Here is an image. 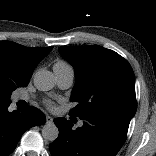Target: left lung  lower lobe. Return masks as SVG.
<instances>
[{"label": "left lung lower lobe", "mask_w": 156, "mask_h": 156, "mask_svg": "<svg viewBox=\"0 0 156 156\" xmlns=\"http://www.w3.org/2000/svg\"><path fill=\"white\" fill-rule=\"evenodd\" d=\"M72 129L65 118H56L58 138L49 145L52 156H115L125 142L129 123L111 116L82 119Z\"/></svg>", "instance_id": "left-lung-lower-lobe-1"}]
</instances>
